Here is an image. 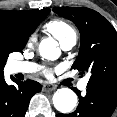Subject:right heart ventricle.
I'll return each instance as SVG.
<instances>
[{"label":"right heart ventricle","mask_w":117,"mask_h":117,"mask_svg":"<svg viewBox=\"0 0 117 117\" xmlns=\"http://www.w3.org/2000/svg\"><path fill=\"white\" fill-rule=\"evenodd\" d=\"M46 29L53 34L59 42L65 40L66 38L76 35L74 29L65 21L62 20H52L46 24Z\"/></svg>","instance_id":"right-heart-ventricle-1"}]
</instances>
